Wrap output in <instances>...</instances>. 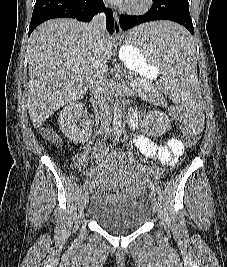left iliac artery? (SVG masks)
Returning <instances> with one entry per match:
<instances>
[{
    "label": "left iliac artery",
    "mask_w": 227,
    "mask_h": 267,
    "mask_svg": "<svg viewBox=\"0 0 227 267\" xmlns=\"http://www.w3.org/2000/svg\"><path fill=\"white\" fill-rule=\"evenodd\" d=\"M150 188H151V190H152L153 192H155V187H154V185H153L152 183H150Z\"/></svg>",
    "instance_id": "left-iliac-artery-1"
}]
</instances>
